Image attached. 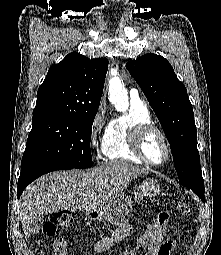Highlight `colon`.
<instances>
[{"instance_id":"colon-1","label":"colon","mask_w":221,"mask_h":255,"mask_svg":"<svg viewBox=\"0 0 221 255\" xmlns=\"http://www.w3.org/2000/svg\"><path fill=\"white\" fill-rule=\"evenodd\" d=\"M177 211L182 216H188L191 212L189 203L182 199L177 204ZM169 221V214L161 212L157 216L155 222L147 229L148 234H155L166 229ZM73 218L68 212L54 213L51 218L44 224L43 233L47 236H53L56 233L57 226L63 228H71L73 226ZM53 255H68L66 242L62 238H58L53 243Z\"/></svg>"}]
</instances>
